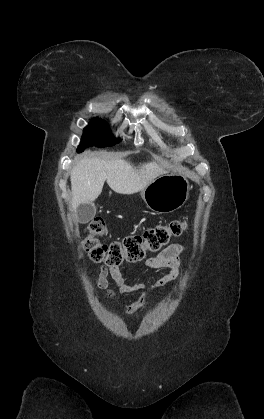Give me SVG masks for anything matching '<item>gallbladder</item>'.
<instances>
[{
	"instance_id": "1",
	"label": "gallbladder",
	"mask_w": 264,
	"mask_h": 419,
	"mask_svg": "<svg viewBox=\"0 0 264 419\" xmlns=\"http://www.w3.org/2000/svg\"><path fill=\"white\" fill-rule=\"evenodd\" d=\"M96 213V208L92 203H84L78 206L77 216L80 223L89 222Z\"/></svg>"
}]
</instances>
